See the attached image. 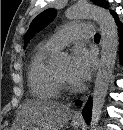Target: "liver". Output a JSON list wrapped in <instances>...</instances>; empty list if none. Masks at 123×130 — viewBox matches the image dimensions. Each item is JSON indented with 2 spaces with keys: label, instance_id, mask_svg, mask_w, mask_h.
Returning <instances> with one entry per match:
<instances>
[{
  "label": "liver",
  "instance_id": "obj_1",
  "mask_svg": "<svg viewBox=\"0 0 123 130\" xmlns=\"http://www.w3.org/2000/svg\"><path fill=\"white\" fill-rule=\"evenodd\" d=\"M71 118V110L52 100H27L20 108L15 130H61Z\"/></svg>",
  "mask_w": 123,
  "mask_h": 130
}]
</instances>
